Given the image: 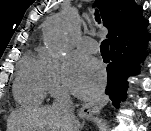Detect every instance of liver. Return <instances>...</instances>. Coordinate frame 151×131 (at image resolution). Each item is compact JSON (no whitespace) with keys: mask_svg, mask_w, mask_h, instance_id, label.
Segmentation results:
<instances>
[{"mask_svg":"<svg viewBox=\"0 0 151 131\" xmlns=\"http://www.w3.org/2000/svg\"><path fill=\"white\" fill-rule=\"evenodd\" d=\"M71 127L63 111L54 106H45L24 108L12 113L7 131H71ZM73 129L77 131L76 124Z\"/></svg>","mask_w":151,"mask_h":131,"instance_id":"1","label":"liver"}]
</instances>
